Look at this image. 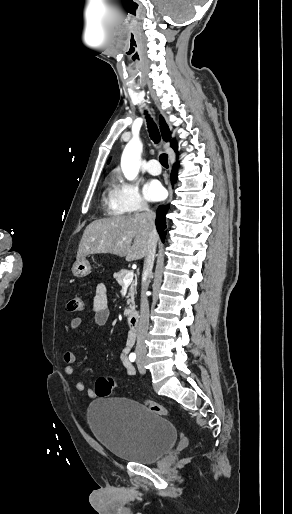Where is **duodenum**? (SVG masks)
I'll return each mask as SVG.
<instances>
[{
    "instance_id": "duodenum-1",
    "label": "duodenum",
    "mask_w": 292,
    "mask_h": 514,
    "mask_svg": "<svg viewBox=\"0 0 292 514\" xmlns=\"http://www.w3.org/2000/svg\"><path fill=\"white\" fill-rule=\"evenodd\" d=\"M128 325L129 329L132 333H136L139 327V313L137 311H133L128 316Z\"/></svg>"
}]
</instances>
